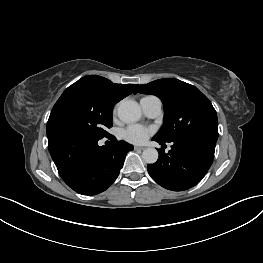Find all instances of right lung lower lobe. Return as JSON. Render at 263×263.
I'll list each match as a JSON object with an SVG mask.
<instances>
[{
  "label": "right lung lower lobe",
  "mask_w": 263,
  "mask_h": 263,
  "mask_svg": "<svg viewBox=\"0 0 263 263\" xmlns=\"http://www.w3.org/2000/svg\"><path fill=\"white\" fill-rule=\"evenodd\" d=\"M99 146L102 138L65 136L48 141V149L63 181L82 195H96L116 180L133 146L117 141Z\"/></svg>",
  "instance_id": "98d812e1"
}]
</instances>
